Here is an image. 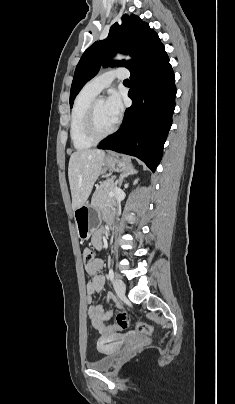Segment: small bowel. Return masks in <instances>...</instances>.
Segmentation results:
<instances>
[{
  "label": "small bowel",
  "instance_id": "small-bowel-1",
  "mask_svg": "<svg viewBox=\"0 0 235 404\" xmlns=\"http://www.w3.org/2000/svg\"><path fill=\"white\" fill-rule=\"evenodd\" d=\"M102 231H97L92 237V244L95 248H101ZM103 267V261L101 259H95L92 263L85 266V269L92 279L87 283L86 290L88 294V315L91 319L92 325L97 329L103 336V340L116 336L114 328H109L106 326L105 322L113 317L115 305L112 304L113 308L110 311H106L102 305L94 304L92 301V296L96 293L102 291L105 283L103 275L98 272ZM111 302V297L109 298ZM123 311V310H120Z\"/></svg>",
  "mask_w": 235,
  "mask_h": 404
}]
</instances>
